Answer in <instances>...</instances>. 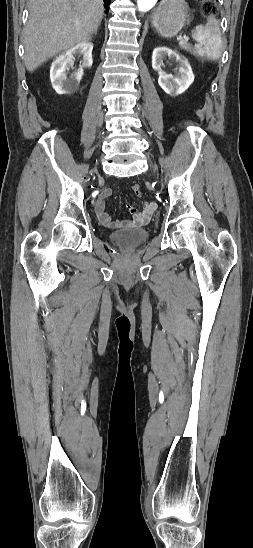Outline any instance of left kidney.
Returning <instances> with one entry per match:
<instances>
[{
	"instance_id": "5707ae66",
	"label": "left kidney",
	"mask_w": 253,
	"mask_h": 548,
	"mask_svg": "<svg viewBox=\"0 0 253 548\" xmlns=\"http://www.w3.org/2000/svg\"><path fill=\"white\" fill-rule=\"evenodd\" d=\"M168 57L178 63L176 76L162 71L163 59ZM152 68L158 71L159 86L169 95L177 96L186 91L194 81V75L188 60L167 47H157L152 54Z\"/></svg>"
}]
</instances>
